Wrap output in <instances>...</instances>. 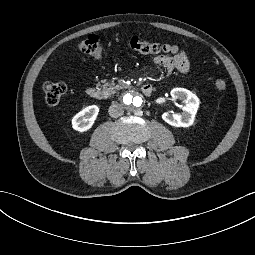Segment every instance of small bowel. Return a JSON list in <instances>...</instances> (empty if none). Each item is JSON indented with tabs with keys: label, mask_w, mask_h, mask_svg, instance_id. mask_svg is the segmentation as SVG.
Returning <instances> with one entry per match:
<instances>
[{
	"label": "small bowel",
	"mask_w": 255,
	"mask_h": 255,
	"mask_svg": "<svg viewBox=\"0 0 255 255\" xmlns=\"http://www.w3.org/2000/svg\"><path fill=\"white\" fill-rule=\"evenodd\" d=\"M154 63L163 67L168 75L174 71L186 74L191 69V61L184 53L175 55H157L154 57Z\"/></svg>",
	"instance_id": "obj_1"
}]
</instances>
